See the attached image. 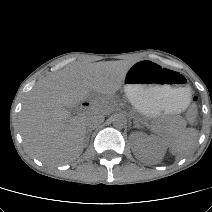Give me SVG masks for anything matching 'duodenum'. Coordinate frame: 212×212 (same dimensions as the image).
<instances>
[{"mask_svg": "<svg viewBox=\"0 0 212 212\" xmlns=\"http://www.w3.org/2000/svg\"><path fill=\"white\" fill-rule=\"evenodd\" d=\"M81 106L84 110H88L91 107V103L89 101H84Z\"/></svg>", "mask_w": 212, "mask_h": 212, "instance_id": "1", "label": "duodenum"}]
</instances>
